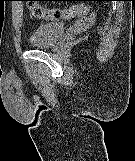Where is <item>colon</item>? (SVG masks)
I'll return each mask as SVG.
<instances>
[{
	"label": "colon",
	"mask_w": 135,
	"mask_h": 161,
	"mask_svg": "<svg viewBox=\"0 0 135 161\" xmlns=\"http://www.w3.org/2000/svg\"><path fill=\"white\" fill-rule=\"evenodd\" d=\"M27 1V8L32 16L44 20H67L78 16H83L87 13V7L84 5H74L70 8H46L36 1Z\"/></svg>",
	"instance_id": "obj_1"
}]
</instances>
